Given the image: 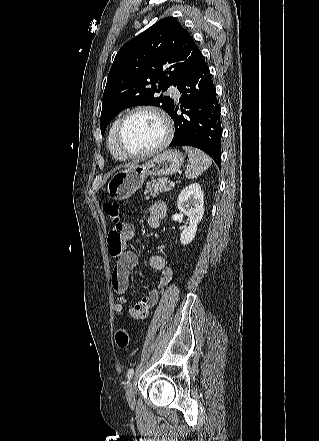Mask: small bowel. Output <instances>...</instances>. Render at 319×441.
Wrapping results in <instances>:
<instances>
[{"label": "small bowel", "instance_id": "1", "mask_svg": "<svg viewBox=\"0 0 319 441\" xmlns=\"http://www.w3.org/2000/svg\"><path fill=\"white\" fill-rule=\"evenodd\" d=\"M166 215V205L162 201L153 203L148 210L147 224L153 229L160 227L161 221ZM135 235V228L130 223H121L111 231L108 238L109 253L116 257V263L111 275L113 291L116 295L114 312L121 315L125 310L124 294L129 287V278L138 263L137 254L128 249L127 243ZM152 269L161 271L158 288L152 289L138 302L129 308L128 312L132 319L141 320L148 317L151 308L156 305L160 290L165 288L172 277V271L167 266L166 260L161 255H152L149 259Z\"/></svg>", "mask_w": 319, "mask_h": 441}]
</instances>
